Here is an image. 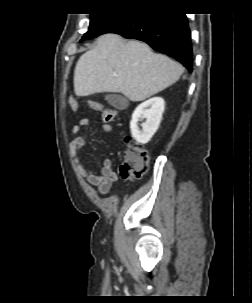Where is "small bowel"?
Listing matches in <instances>:
<instances>
[{"label": "small bowel", "mask_w": 252, "mask_h": 303, "mask_svg": "<svg viewBox=\"0 0 252 303\" xmlns=\"http://www.w3.org/2000/svg\"><path fill=\"white\" fill-rule=\"evenodd\" d=\"M88 118H82L72 127L71 135L72 140L70 142V155L73 158L76 168L81 176H83L87 182L95 186L99 193L107 194L113 187L114 183L118 179L117 173L113 169V161L111 158H105L100 174L89 170L80 159V151L85 145L84 139L80 136L81 130L89 124ZM99 132L109 133L113 131V128L108 123H103L98 127Z\"/></svg>", "instance_id": "c3829d8e"}]
</instances>
